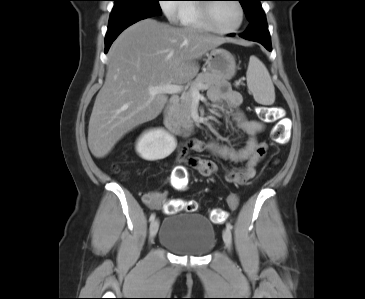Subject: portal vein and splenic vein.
Returning <instances> with one entry per match:
<instances>
[{
    "label": "portal vein and splenic vein",
    "mask_w": 365,
    "mask_h": 299,
    "mask_svg": "<svg viewBox=\"0 0 365 299\" xmlns=\"http://www.w3.org/2000/svg\"><path fill=\"white\" fill-rule=\"evenodd\" d=\"M201 89H206V87L203 85H198L197 87L192 88L191 89L192 97L193 98L199 97L200 96L199 90H201ZM183 91H184L183 86L171 84V83H167L163 86L149 88V94L152 96H155L157 94H177V93H181Z\"/></svg>",
    "instance_id": "18ae733b"
}]
</instances>
